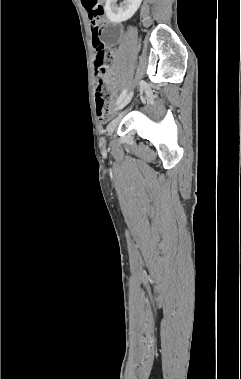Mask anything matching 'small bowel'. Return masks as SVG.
<instances>
[{
	"label": "small bowel",
	"instance_id": "c3829d8e",
	"mask_svg": "<svg viewBox=\"0 0 241 379\" xmlns=\"http://www.w3.org/2000/svg\"><path fill=\"white\" fill-rule=\"evenodd\" d=\"M107 82L112 86L114 87L116 85V82L111 78V74L108 73L107 77Z\"/></svg>",
	"mask_w": 241,
	"mask_h": 379
}]
</instances>
